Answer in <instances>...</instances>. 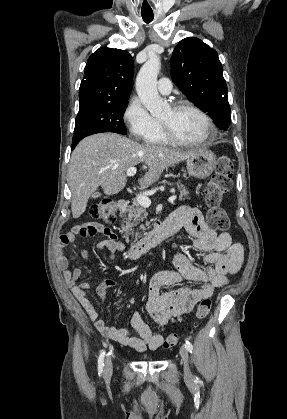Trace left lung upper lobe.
<instances>
[{"label":"left lung upper lobe","instance_id":"5c2ea615","mask_svg":"<svg viewBox=\"0 0 287 419\" xmlns=\"http://www.w3.org/2000/svg\"><path fill=\"white\" fill-rule=\"evenodd\" d=\"M177 87L221 130L231 123L227 85L217 52L195 37L181 40L170 59Z\"/></svg>","mask_w":287,"mask_h":419}]
</instances>
